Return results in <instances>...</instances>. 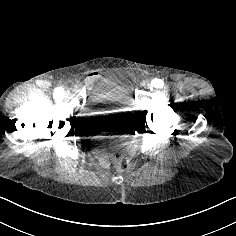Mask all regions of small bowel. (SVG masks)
I'll list each match as a JSON object with an SVG mask.
<instances>
[{"label": "small bowel", "instance_id": "obj_1", "mask_svg": "<svg viewBox=\"0 0 236 236\" xmlns=\"http://www.w3.org/2000/svg\"><path fill=\"white\" fill-rule=\"evenodd\" d=\"M99 77V75L97 73H93L90 75V80H95Z\"/></svg>", "mask_w": 236, "mask_h": 236}]
</instances>
